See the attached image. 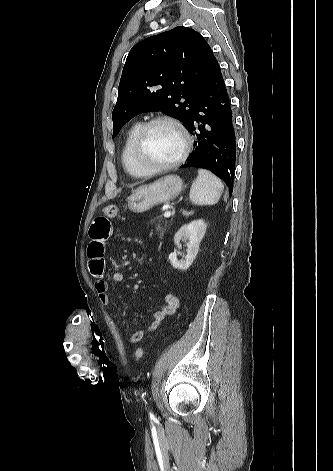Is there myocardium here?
Instances as JSON below:
<instances>
[{"instance_id":"f54148a6","label":"myocardium","mask_w":333,"mask_h":471,"mask_svg":"<svg viewBox=\"0 0 333 471\" xmlns=\"http://www.w3.org/2000/svg\"><path fill=\"white\" fill-rule=\"evenodd\" d=\"M160 123L169 124L177 130L182 141V149L179 156L172 162L166 164H151L148 163L144 158L145 144L150 129L154 125ZM191 146V137L185 127L178 120L165 115L156 116L143 123L139 132L137 133L133 145V159L136 166L147 175L169 171L180 166L187 159L191 150Z\"/></svg>"}]
</instances>
